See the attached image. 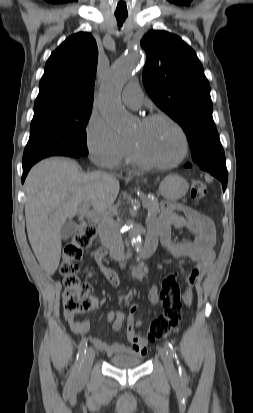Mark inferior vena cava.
Returning a JSON list of instances; mask_svg holds the SVG:
<instances>
[{
  "instance_id": "inferior-vena-cava-1",
  "label": "inferior vena cava",
  "mask_w": 253,
  "mask_h": 413,
  "mask_svg": "<svg viewBox=\"0 0 253 413\" xmlns=\"http://www.w3.org/2000/svg\"><path fill=\"white\" fill-rule=\"evenodd\" d=\"M98 230L101 241L109 247L112 253L118 256L124 253L122 236L111 218H102L99 222Z\"/></svg>"
}]
</instances>
